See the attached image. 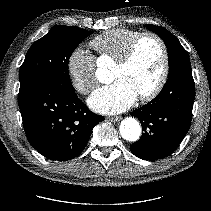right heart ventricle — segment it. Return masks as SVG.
<instances>
[{
    "label": "right heart ventricle",
    "instance_id": "obj_1",
    "mask_svg": "<svg viewBox=\"0 0 211 211\" xmlns=\"http://www.w3.org/2000/svg\"><path fill=\"white\" fill-rule=\"evenodd\" d=\"M140 33L131 29H112L93 38L90 45L100 57H107L116 62Z\"/></svg>",
    "mask_w": 211,
    "mask_h": 211
}]
</instances>
